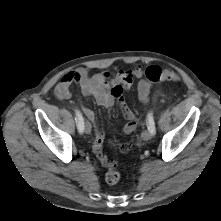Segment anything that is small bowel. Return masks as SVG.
<instances>
[{
    "mask_svg": "<svg viewBox=\"0 0 221 221\" xmlns=\"http://www.w3.org/2000/svg\"><path fill=\"white\" fill-rule=\"evenodd\" d=\"M144 71L141 66L129 71H119L111 73L108 70L98 72L90 75L86 68L80 67L74 71L66 73L57 87L65 90L63 98L71 96L70 87L76 83L80 86L81 92L84 96L93 97L96 103L103 107H111L117 102L116 88L123 84H128V88L137 82V95L141 102L147 103L150 100L151 84L143 78ZM130 110V109H129ZM83 111L87 119L94 125V136L92 138V151L98 161L104 166H109L112 160L104 153L103 145L105 142V135L101 126L96 122V115L94 111L88 107H83ZM128 123L123 128L124 134L131 133L136 127V117L130 110L128 116L124 115ZM121 150L127 151L128 147L120 145Z\"/></svg>",
    "mask_w": 221,
    "mask_h": 221,
    "instance_id": "obj_1",
    "label": "small bowel"
}]
</instances>
